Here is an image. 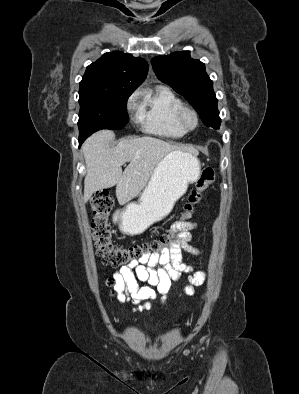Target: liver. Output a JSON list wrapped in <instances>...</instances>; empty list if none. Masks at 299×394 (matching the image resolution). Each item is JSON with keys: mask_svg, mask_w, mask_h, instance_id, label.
<instances>
[{"mask_svg": "<svg viewBox=\"0 0 299 394\" xmlns=\"http://www.w3.org/2000/svg\"><path fill=\"white\" fill-rule=\"evenodd\" d=\"M114 133L102 130L91 135L83 144L87 174L84 180V202L103 188L116 185L120 204L134 199L146 186L157 165L178 145L151 136L123 139L111 148ZM129 165L122 172V165Z\"/></svg>", "mask_w": 299, "mask_h": 394, "instance_id": "obj_1", "label": "liver"}]
</instances>
